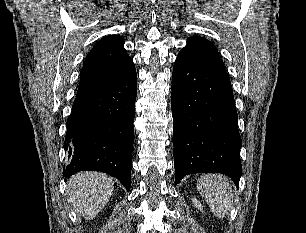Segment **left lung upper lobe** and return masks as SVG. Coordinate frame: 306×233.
Instances as JSON below:
<instances>
[{"mask_svg":"<svg viewBox=\"0 0 306 233\" xmlns=\"http://www.w3.org/2000/svg\"><path fill=\"white\" fill-rule=\"evenodd\" d=\"M180 53H188L202 60L214 61L223 65L216 47L207 39L192 36L187 39V45Z\"/></svg>","mask_w":306,"mask_h":233,"instance_id":"1","label":"left lung upper lobe"}]
</instances>
